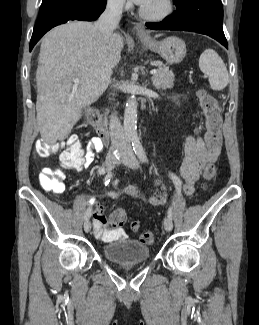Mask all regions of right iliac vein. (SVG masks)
Here are the masks:
<instances>
[{"instance_id":"1","label":"right iliac vein","mask_w":259,"mask_h":325,"mask_svg":"<svg viewBox=\"0 0 259 325\" xmlns=\"http://www.w3.org/2000/svg\"><path fill=\"white\" fill-rule=\"evenodd\" d=\"M116 161V157L113 155H109L105 160V166L108 170H111L114 166V163ZM84 230L86 233L90 232L91 230V221L87 219L84 223Z\"/></svg>"}]
</instances>
